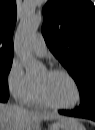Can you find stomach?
<instances>
[{
	"mask_svg": "<svg viewBox=\"0 0 95 130\" xmlns=\"http://www.w3.org/2000/svg\"><path fill=\"white\" fill-rule=\"evenodd\" d=\"M48 130H86L76 118L64 117L49 125Z\"/></svg>",
	"mask_w": 95,
	"mask_h": 130,
	"instance_id": "stomach-1",
	"label": "stomach"
}]
</instances>
